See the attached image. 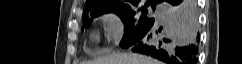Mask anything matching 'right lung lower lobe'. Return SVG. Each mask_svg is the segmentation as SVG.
<instances>
[{"instance_id": "98d812e1", "label": "right lung lower lobe", "mask_w": 242, "mask_h": 64, "mask_svg": "<svg viewBox=\"0 0 242 64\" xmlns=\"http://www.w3.org/2000/svg\"><path fill=\"white\" fill-rule=\"evenodd\" d=\"M153 24L126 48L167 64H197L199 25L195 0H158Z\"/></svg>"}]
</instances>
